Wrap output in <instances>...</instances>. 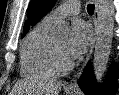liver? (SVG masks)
<instances>
[{
  "instance_id": "obj_1",
  "label": "liver",
  "mask_w": 119,
  "mask_h": 95,
  "mask_svg": "<svg viewBox=\"0 0 119 95\" xmlns=\"http://www.w3.org/2000/svg\"><path fill=\"white\" fill-rule=\"evenodd\" d=\"M61 87V82L55 79H49L36 81L32 84H27V82L21 83L16 86L15 92L26 89L30 95H58Z\"/></svg>"
}]
</instances>
